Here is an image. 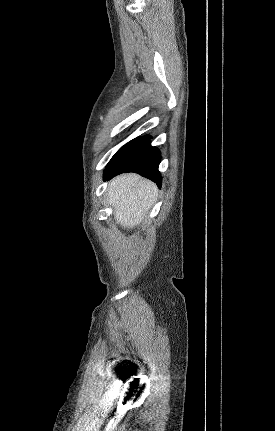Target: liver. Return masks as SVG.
I'll use <instances>...</instances> for the list:
<instances>
[{
	"mask_svg": "<svg viewBox=\"0 0 275 431\" xmlns=\"http://www.w3.org/2000/svg\"><path fill=\"white\" fill-rule=\"evenodd\" d=\"M156 198L157 186L137 174L119 175L108 185V202L114 209V219L124 228L141 222Z\"/></svg>",
	"mask_w": 275,
	"mask_h": 431,
	"instance_id": "1",
	"label": "liver"
}]
</instances>
